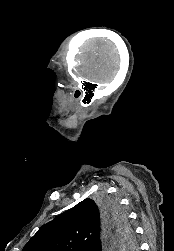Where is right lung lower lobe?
I'll return each mask as SVG.
<instances>
[{
  "label": "right lung lower lobe",
  "mask_w": 174,
  "mask_h": 251,
  "mask_svg": "<svg viewBox=\"0 0 174 251\" xmlns=\"http://www.w3.org/2000/svg\"><path fill=\"white\" fill-rule=\"evenodd\" d=\"M103 229H104V232H103V236L101 239V246H102V248H105V247L109 246L111 243L112 234L114 232V227L110 223H108L106 219H104ZM102 251H105V250H102Z\"/></svg>",
  "instance_id": "obj_1"
}]
</instances>
